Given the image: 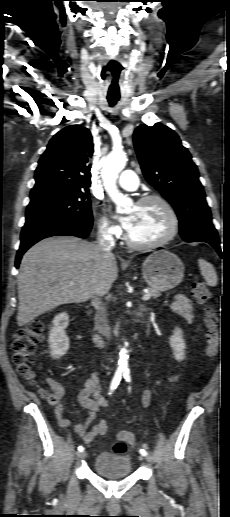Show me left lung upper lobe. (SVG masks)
<instances>
[{
	"label": "left lung upper lobe",
	"instance_id": "left-lung-upper-lobe-1",
	"mask_svg": "<svg viewBox=\"0 0 230 517\" xmlns=\"http://www.w3.org/2000/svg\"><path fill=\"white\" fill-rule=\"evenodd\" d=\"M133 139L146 180L177 213L182 238L217 232L197 166L179 136L169 127L156 123L137 127Z\"/></svg>",
	"mask_w": 230,
	"mask_h": 517
}]
</instances>
